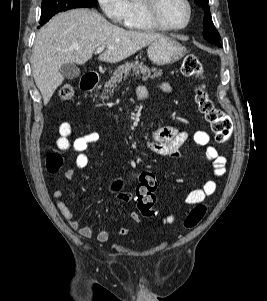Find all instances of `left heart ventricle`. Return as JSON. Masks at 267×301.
Listing matches in <instances>:
<instances>
[{"mask_svg":"<svg viewBox=\"0 0 267 301\" xmlns=\"http://www.w3.org/2000/svg\"><path fill=\"white\" fill-rule=\"evenodd\" d=\"M160 15L169 25H181L187 18V9L183 0H162Z\"/></svg>","mask_w":267,"mask_h":301,"instance_id":"b2bd125f","label":"left heart ventricle"}]
</instances>
